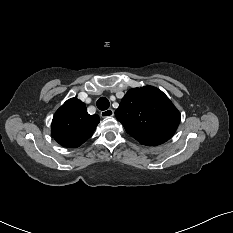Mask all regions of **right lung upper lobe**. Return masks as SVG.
Here are the masks:
<instances>
[{
  "mask_svg": "<svg viewBox=\"0 0 233 233\" xmlns=\"http://www.w3.org/2000/svg\"><path fill=\"white\" fill-rule=\"evenodd\" d=\"M100 118L89 115L86 106L77 98L67 100L55 113L51 133L62 146L76 148L89 139Z\"/></svg>",
  "mask_w": 233,
  "mask_h": 233,
  "instance_id": "right-lung-upper-lobe-1",
  "label": "right lung upper lobe"
}]
</instances>
